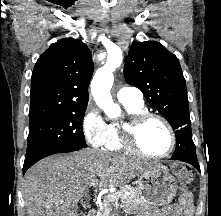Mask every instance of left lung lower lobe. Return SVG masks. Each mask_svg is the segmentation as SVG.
Here are the masks:
<instances>
[{
	"label": "left lung lower lobe",
	"instance_id": "1",
	"mask_svg": "<svg viewBox=\"0 0 221 216\" xmlns=\"http://www.w3.org/2000/svg\"><path fill=\"white\" fill-rule=\"evenodd\" d=\"M171 159L189 163L193 165L198 171H200L196 151L188 145L176 144V149Z\"/></svg>",
	"mask_w": 221,
	"mask_h": 216
}]
</instances>
